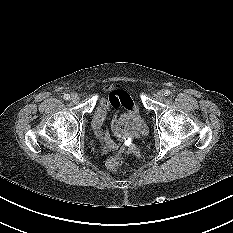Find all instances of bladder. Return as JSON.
Wrapping results in <instances>:
<instances>
[{
	"mask_svg": "<svg viewBox=\"0 0 233 233\" xmlns=\"http://www.w3.org/2000/svg\"><path fill=\"white\" fill-rule=\"evenodd\" d=\"M112 129L117 136L123 138L138 137L148 132L145 120L137 112H127L117 117Z\"/></svg>",
	"mask_w": 233,
	"mask_h": 233,
	"instance_id": "1",
	"label": "bladder"
}]
</instances>
